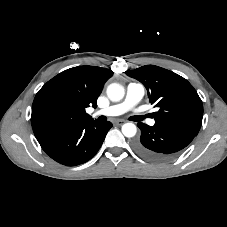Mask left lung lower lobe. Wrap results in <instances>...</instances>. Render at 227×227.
I'll list each match as a JSON object with an SVG mask.
<instances>
[{
  "instance_id": "left-lung-lower-lobe-1",
  "label": "left lung lower lobe",
  "mask_w": 227,
  "mask_h": 227,
  "mask_svg": "<svg viewBox=\"0 0 227 227\" xmlns=\"http://www.w3.org/2000/svg\"><path fill=\"white\" fill-rule=\"evenodd\" d=\"M137 125L141 130V137L135 141L134 149L143 158L156 163L171 159L196 136L188 131L165 125L148 126L144 123Z\"/></svg>"
}]
</instances>
